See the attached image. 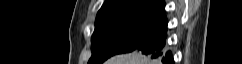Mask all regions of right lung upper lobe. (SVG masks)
I'll return each instance as SVG.
<instances>
[{
    "label": "right lung upper lobe",
    "instance_id": "1",
    "mask_svg": "<svg viewBox=\"0 0 242 64\" xmlns=\"http://www.w3.org/2000/svg\"><path fill=\"white\" fill-rule=\"evenodd\" d=\"M124 12H155L165 14L164 0H105L96 20Z\"/></svg>",
    "mask_w": 242,
    "mask_h": 64
}]
</instances>
